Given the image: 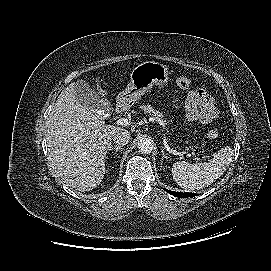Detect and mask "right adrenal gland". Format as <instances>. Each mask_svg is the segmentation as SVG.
<instances>
[{
  "instance_id": "right-adrenal-gland-1",
  "label": "right adrenal gland",
  "mask_w": 271,
  "mask_h": 271,
  "mask_svg": "<svg viewBox=\"0 0 271 271\" xmlns=\"http://www.w3.org/2000/svg\"><path fill=\"white\" fill-rule=\"evenodd\" d=\"M122 149V146H117V145H115V146H110L109 147V149H108V151H113V150H115V153L114 154H116L119 150H121Z\"/></svg>"
}]
</instances>
